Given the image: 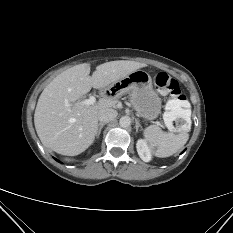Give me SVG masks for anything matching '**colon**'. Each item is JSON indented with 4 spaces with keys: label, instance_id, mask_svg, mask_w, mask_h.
I'll use <instances>...</instances> for the list:
<instances>
[{
    "label": "colon",
    "instance_id": "obj_1",
    "mask_svg": "<svg viewBox=\"0 0 233 233\" xmlns=\"http://www.w3.org/2000/svg\"><path fill=\"white\" fill-rule=\"evenodd\" d=\"M154 83L158 91L172 96L165 106L164 119L167 126L176 132L187 129L191 122V107L178 82L161 72L156 75Z\"/></svg>",
    "mask_w": 233,
    "mask_h": 233
}]
</instances>
